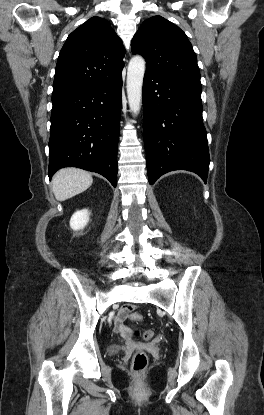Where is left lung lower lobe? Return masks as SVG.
<instances>
[{
	"mask_svg": "<svg viewBox=\"0 0 264 415\" xmlns=\"http://www.w3.org/2000/svg\"><path fill=\"white\" fill-rule=\"evenodd\" d=\"M201 92L199 82L145 72L143 131L150 184L173 170L195 172L206 182L210 158Z\"/></svg>",
	"mask_w": 264,
	"mask_h": 415,
	"instance_id": "obj_1",
	"label": "left lung lower lobe"
}]
</instances>
